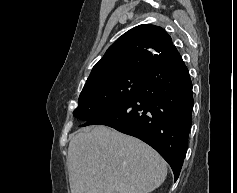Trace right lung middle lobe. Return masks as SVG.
<instances>
[{
  "label": "right lung middle lobe",
  "instance_id": "dd1d6c3e",
  "mask_svg": "<svg viewBox=\"0 0 237 193\" xmlns=\"http://www.w3.org/2000/svg\"><path fill=\"white\" fill-rule=\"evenodd\" d=\"M144 74H129L85 85L73 115L89 121L120 107L140 89Z\"/></svg>",
  "mask_w": 237,
  "mask_h": 193
}]
</instances>
